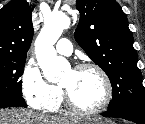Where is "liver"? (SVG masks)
Listing matches in <instances>:
<instances>
[{"label":"liver","mask_w":145,"mask_h":124,"mask_svg":"<svg viewBox=\"0 0 145 124\" xmlns=\"http://www.w3.org/2000/svg\"><path fill=\"white\" fill-rule=\"evenodd\" d=\"M79 118H55L39 115L23 109L0 110V124H78Z\"/></svg>","instance_id":"1"}]
</instances>
